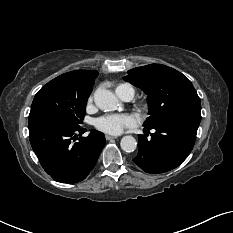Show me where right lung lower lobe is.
Here are the masks:
<instances>
[{"instance_id":"1","label":"right lung lower lobe","mask_w":233,"mask_h":233,"mask_svg":"<svg viewBox=\"0 0 233 233\" xmlns=\"http://www.w3.org/2000/svg\"><path fill=\"white\" fill-rule=\"evenodd\" d=\"M31 146L41 166L56 181H82L94 168L106 140L103 133L86 130L54 120H39L29 125Z\"/></svg>"}]
</instances>
